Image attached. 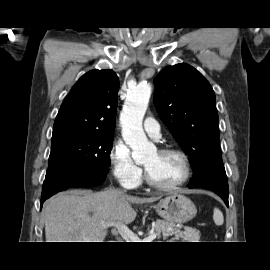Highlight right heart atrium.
Masks as SVG:
<instances>
[{"label":"right heart atrium","mask_w":270,"mask_h":270,"mask_svg":"<svg viewBox=\"0 0 270 270\" xmlns=\"http://www.w3.org/2000/svg\"><path fill=\"white\" fill-rule=\"evenodd\" d=\"M109 161L113 176L125 187L135 188L142 180V169L133 160L128 147L122 141H116L109 152Z\"/></svg>","instance_id":"obj_1"}]
</instances>
